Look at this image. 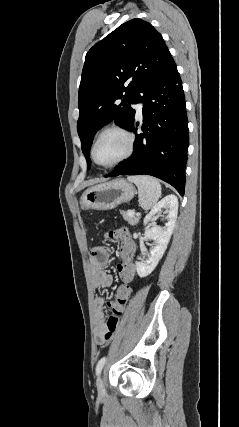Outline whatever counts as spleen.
<instances>
[{
    "instance_id": "spleen-1",
    "label": "spleen",
    "mask_w": 239,
    "mask_h": 427,
    "mask_svg": "<svg viewBox=\"0 0 239 427\" xmlns=\"http://www.w3.org/2000/svg\"><path fill=\"white\" fill-rule=\"evenodd\" d=\"M128 180L138 187L140 206L144 210L153 208L161 197V185L158 180L146 175L129 176Z\"/></svg>"
}]
</instances>
